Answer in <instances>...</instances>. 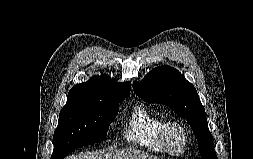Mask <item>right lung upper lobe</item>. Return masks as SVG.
<instances>
[{"mask_svg": "<svg viewBox=\"0 0 253 159\" xmlns=\"http://www.w3.org/2000/svg\"><path fill=\"white\" fill-rule=\"evenodd\" d=\"M131 83H118L108 75L94 76L84 83L76 84L68 93L67 101L125 99Z\"/></svg>", "mask_w": 253, "mask_h": 159, "instance_id": "1", "label": "right lung upper lobe"}]
</instances>
